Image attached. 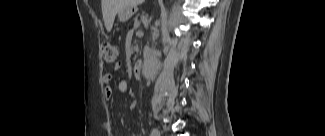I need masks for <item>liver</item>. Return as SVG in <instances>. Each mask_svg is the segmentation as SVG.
<instances>
[{
	"instance_id": "obj_1",
	"label": "liver",
	"mask_w": 325,
	"mask_h": 136,
	"mask_svg": "<svg viewBox=\"0 0 325 136\" xmlns=\"http://www.w3.org/2000/svg\"><path fill=\"white\" fill-rule=\"evenodd\" d=\"M143 0H102V14L106 30L110 32L113 27L115 16L124 9L141 4Z\"/></svg>"
}]
</instances>
